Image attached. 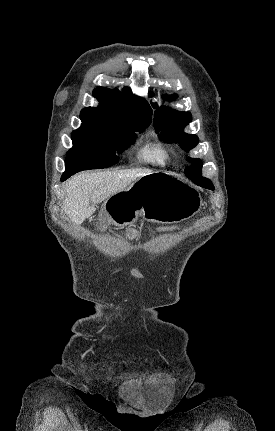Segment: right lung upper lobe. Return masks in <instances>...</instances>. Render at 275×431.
<instances>
[{
	"label": "right lung upper lobe",
	"mask_w": 275,
	"mask_h": 431,
	"mask_svg": "<svg viewBox=\"0 0 275 431\" xmlns=\"http://www.w3.org/2000/svg\"><path fill=\"white\" fill-rule=\"evenodd\" d=\"M93 96L98 99L99 106L84 108L80 113L82 121L113 120L126 126L138 127L151 123L152 110L142 98L134 96L131 89L97 87Z\"/></svg>",
	"instance_id": "right-lung-upper-lobe-1"
}]
</instances>
